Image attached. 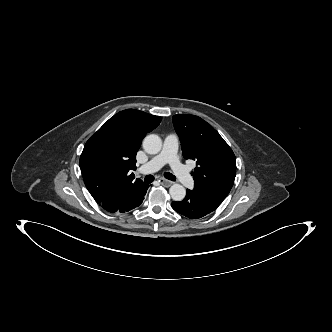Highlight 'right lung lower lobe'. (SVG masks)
Wrapping results in <instances>:
<instances>
[{
    "label": "right lung lower lobe",
    "mask_w": 332,
    "mask_h": 332,
    "mask_svg": "<svg viewBox=\"0 0 332 332\" xmlns=\"http://www.w3.org/2000/svg\"><path fill=\"white\" fill-rule=\"evenodd\" d=\"M149 185L142 183L119 199H111L100 205L111 213H125L141 205Z\"/></svg>",
    "instance_id": "98d812e1"
}]
</instances>
